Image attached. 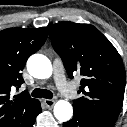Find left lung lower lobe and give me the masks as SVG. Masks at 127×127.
I'll list each match as a JSON object with an SVG mask.
<instances>
[{
	"mask_svg": "<svg viewBox=\"0 0 127 127\" xmlns=\"http://www.w3.org/2000/svg\"><path fill=\"white\" fill-rule=\"evenodd\" d=\"M113 126L114 124L97 120L78 109H74L73 119L63 123V127H113Z\"/></svg>",
	"mask_w": 127,
	"mask_h": 127,
	"instance_id": "left-lung-lower-lobe-1",
	"label": "left lung lower lobe"
}]
</instances>
